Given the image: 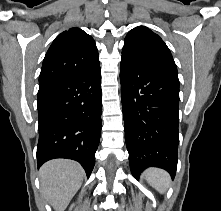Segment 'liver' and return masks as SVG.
Instances as JSON below:
<instances>
[{
    "instance_id": "6515ba94",
    "label": "liver",
    "mask_w": 221,
    "mask_h": 211,
    "mask_svg": "<svg viewBox=\"0 0 221 211\" xmlns=\"http://www.w3.org/2000/svg\"><path fill=\"white\" fill-rule=\"evenodd\" d=\"M39 178L45 199L55 211H64L82 185L84 170L75 161L55 159L41 167Z\"/></svg>"
}]
</instances>
